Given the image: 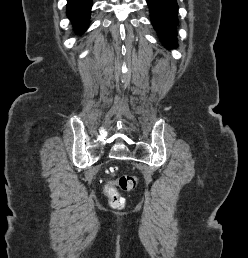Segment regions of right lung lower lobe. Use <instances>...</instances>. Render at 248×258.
<instances>
[{"instance_id":"1","label":"right lung lower lobe","mask_w":248,"mask_h":258,"mask_svg":"<svg viewBox=\"0 0 248 258\" xmlns=\"http://www.w3.org/2000/svg\"><path fill=\"white\" fill-rule=\"evenodd\" d=\"M91 6L92 0H68L67 15L77 33H83L86 30L89 24Z\"/></svg>"}]
</instances>
